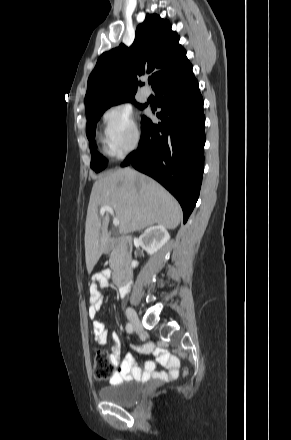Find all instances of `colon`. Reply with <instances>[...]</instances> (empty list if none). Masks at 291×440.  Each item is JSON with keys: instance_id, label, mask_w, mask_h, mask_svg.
Listing matches in <instances>:
<instances>
[{"instance_id": "1", "label": "colon", "mask_w": 291, "mask_h": 440, "mask_svg": "<svg viewBox=\"0 0 291 440\" xmlns=\"http://www.w3.org/2000/svg\"><path fill=\"white\" fill-rule=\"evenodd\" d=\"M93 374L98 380H106L112 375V367L104 352L96 353L93 360Z\"/></svg>"}]
</instances>
